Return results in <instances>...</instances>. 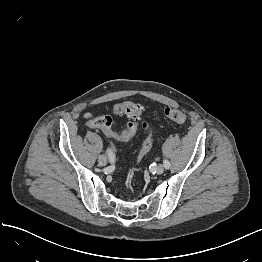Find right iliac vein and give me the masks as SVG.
Wrapping results in <instances>:
<instances>
[{
  "label": "right iliac vein",
  "instance_id": "right-iliac-vein-1",
  "mask_svg": "<svg viewBox=\"0 0 262 262\" xmlns=\"http://www.w3.org/2000/svg\"><path fill=\"white\" fill-rule=\"evenodd\" d=\"M98 163H99V165H101V166H105L106 164H107V157L105 156V155H100L99 157H98Z\"/></svg>",
  "mask_w": 262,
  "mask_h": 262
}]
</instances>
